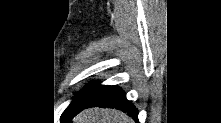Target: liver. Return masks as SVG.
I'll return each mask as SVG.
<instances>
[{
    "label": "liver",
    "instance_id": "6515ba94",
    "mask_svg": "<svg viewBox=\"0 0 221 123\" xmlns=\"http://www.w3.org/2000/svg\"><path fill=\"white\" fill-rule=\"evenodd\" d=\"M74 123H134L125 113L115 109L91 108L84 110L74 119Z\"/></svg>",
    "mask_w": 221,
    "mask_h": 123
}]
</instances>
